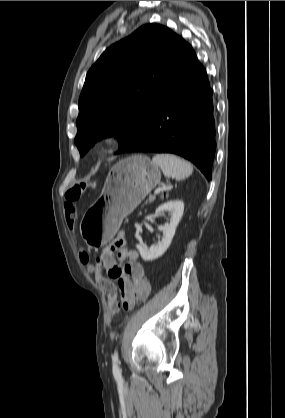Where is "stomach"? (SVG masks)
<instances>
[{
	"mask_svg": "<svg viewBox=\"0 0 285 418\" xmlns=\"http://www.w3.org/2000/svg\"><path fill=\"white\" fill-rule=\"evenodd\" d=\"M160 180V169L145 155H132L115 164L102 194L80 223L85 242L96 247L106 245L118 231L122 220Z\"/></svg>",
	"mask_w": 285,
	"mask_h": 418,
	"instance_id": "0dacf381",
	"label": "stomach"
}]
</instances>
